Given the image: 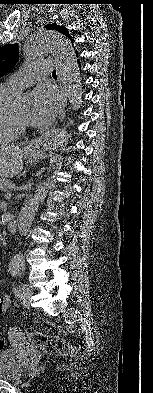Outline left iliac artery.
Returning <instances> with one entry per match:
<instances>
[{"instance_id": "obj_1", "label": "left iliac artery", "mask_w": 153, "mask_h": 393, "mask_svg": "<svg viewBox=\"0 0 153 393\" xmlns=\"http://www.w3.org/2000/svg\"><path fill=\"white\" fill-rule=\"evenodd\" d=\"M26 285H20L19 288L16 290V295L22 298V293L25 290Z\"/></svg>"}]
</instances>
